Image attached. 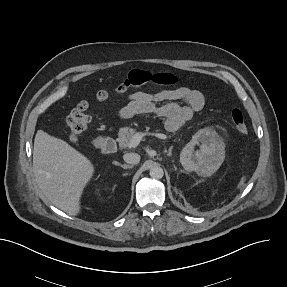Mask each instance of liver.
Masks as SVG:
<instances>
[{"label":"liver","instance_id":"6515ba94","mask_svg":"<svg viewBox=\"0 0 287 287\" xmlns=\"http://www.w3.org/2000/svg\"><path fill=\"white\" fill-rule=\"evenodd\" d=\"M33 171L44 196L57 208L77 215L83 190L94 174L92 162L62 139L38 130Z\"/></svg>","mask_w":287,"mask_h":287}]
</instances>
